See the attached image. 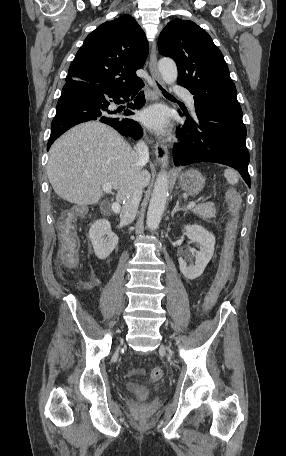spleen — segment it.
<instances>
[{"mask_svg":"<svg viewBox=\"0 0 286 456\" xmlns=\"http://www.w3.org/2000/svg\"><path fill=\"white\" fill-rule=\"evenodd\" d=\"M224 177L226 178L227 182L232 185L236 184L239 180L237 172L233 169H226L224 171Z\"/></svg>","mask_w":286,"mask_h":456,"instance_id":"spleen-1","label":"spleen"}]
</instances>
